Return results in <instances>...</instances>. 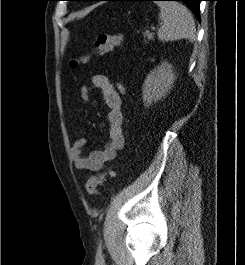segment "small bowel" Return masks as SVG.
Wrapping results in <instances>:
<instances>
[{
  "label": "small bowel",
  "instance_id": "small-bowel-1",
  "mask_svg": "<svg viewBox=\"0 0 245 265\" xmlns=\"http://www.w3.org/2000/svg\"><path fill=\"white\" fill-rule=\"evenodd\" d=\"M91 82L101 91L103 100L109 109L107 114L108 141L102 150L85 154L84 148L87 141L85 138L79 137L72 144L71 157L76 169L97 172L106 163L114 160L118 152L124 147L123 114L121 96L111 80L105 75L94 74L91 76ZM80 97L84 102L89 103L91 101V94L87 87L80 88Z\"/></svg>",
  "mask_w": 245,
  "mask_h": 265
}]
</instances>
